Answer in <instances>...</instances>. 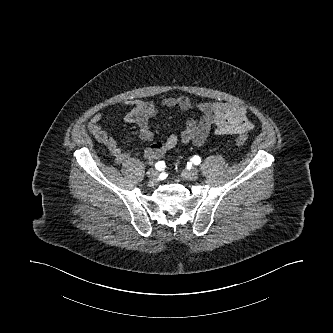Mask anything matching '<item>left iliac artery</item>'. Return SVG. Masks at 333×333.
Listing matches in <instances>:
<instances>
[{
  "mask_svg": "<svg viewBox=\"0 0 333 333\" xmlns=\"http://www.w3.org/2000/svg\"><path fill=\"white\" fill-rule=\"evenodd\" d=\"M191 161L195 164V165H199L201 163V158L197 155H195Z\"/></svg>",
  "mask_w": 333,
  "mask_h": 333,
  "instance_id": "left-iliac-artery-1",
  "label": "left iliac artery"
}]
</instances>
